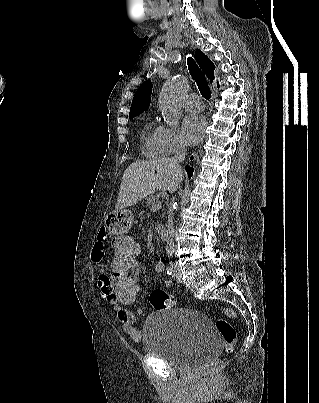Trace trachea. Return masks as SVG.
Segmentation results:
<instances>
[{
	"label": "trachea",
	"instance_id": "3493384b",
	"mask_svg": "<svg viewBox=\"0 0 319 403\" xmlns=\"http://www.w3.org/2000/svg\"><path fill=\"white\" fill-rule=\"evenodd\" d=\"M187 64H188V69L190 70V73H191L193 79L195 80L201 95L205 99L209 100L211 97V91L208 86L204 73L200 70L199 66L196 64V62L193 60L192 57H188Z\"/></svg>",
	"mask_w": 319,
	"mask_h": 403
}]
</instances>
